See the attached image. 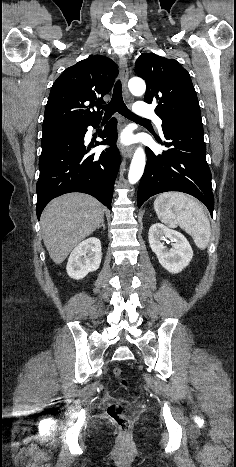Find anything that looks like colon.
<instances>
[{"mask_svg":"<svg viewBox=\"0 0 236 467\" xmlns=\"http://www.w3.org/2000/svg\"><path fill=\"white\" fill-rule=\"evenodd\" d=\"M113 375L123 388L128 389L130 387L128 380L123 377L121 368L115 367L113 369ZM107 415L110 420L118 426L121 434L124 437H127L131 430V422L127 417L124 416L122 405L120 403L110 404L107 408Z\"/></svg>","mask_w":236,"mask_h":467,"instance_id":"5ec220e1","label":"colon"}]
</instances>
